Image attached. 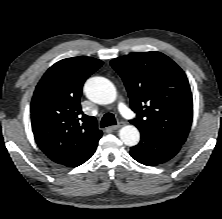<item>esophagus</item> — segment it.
<instances>
[{"label": "esophagus", "instance_id": "obj_1", "mask_svg": "<svg viewBox=\"0 0 222 219\" xmlns=\"http://www.w3.org/2000/svg\"><path fill=\"white\" fill-rule=\"evenodd\" d=\"M124 125L123 122H119L117 125H114L111 127L112 130H117L119 128H121Z\"/></svg>", "mask_w": 222, "mask_h": 219}]
</instances>
